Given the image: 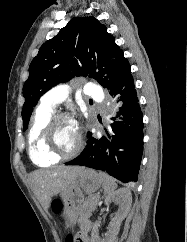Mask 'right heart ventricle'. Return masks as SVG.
Instances as JSON below:
<instances>
[{"label":"right heart ventricle","mask_w":187,"mask_h":242,"mask_svg":"<svg viewBox=\"0 0 187 242\" xmlns=\"http://www.w3.org/2000/svg\"><path fill=\"white\" fill-rule=\"evenodd\" d=\"M53 114V107L41 104L35 112L28 134L30 158L36 165L41 167H47L59 161L58 158L48 155L42 144L44 127Z\"/></svg>","instance_id":"1"}]
</instances>
